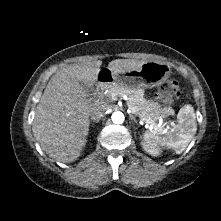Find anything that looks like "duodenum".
<instances>
[{"label":"duodenum","mask_w":221,"mask_h":221,"mask_svg":"<svg viewBox=\"0 0 221 221\" xmlns=\"http://www.w3.org/2000/svg\"><path fill=\"white\" fill-rule=\"evenodd\" d=\"M112 81V77L111 74L109 73H101L98 76V83H97V87L98 89L103 88L107 83Z\"/></svg>","instance_id":"obj_1"}]
</instances>
